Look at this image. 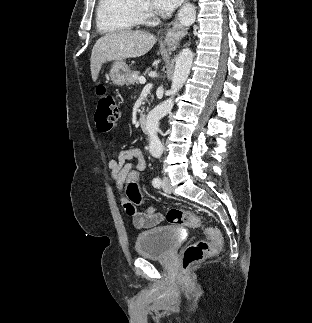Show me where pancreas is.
Listing matches in <instances>:
<instances>
[{
    "label": "pancreas",
    "instance_id": "pancreas-1",
    "mask_svg": "<svg viewBox=\"0 0 312 323\" xmlns=\"http://www.w3.org/2000/svg\"><path fill=\"white\" fill-rule=\"evenodd\" d=\"M139 72H132V74H129V78L127 80V86H129V84H137V82H139Z\"/></svg>",
    "mask_w": 312,
    "mask_h": 323
}]
</instances>
